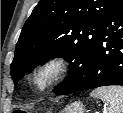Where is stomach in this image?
<instances>
[{"label": "stomach", "instance_id": "stomach-1", "mask_svg": "<svg viewBox=\"0 0 123 113\" xmlns=\"http://www.w3.org/2000/svg\"><path fill=\"white\" fill-rule=\"evenodd\" d=\"M63 113H84L83 103L76 101L67 105Z\"/></svg>", "mask_w": 123, "mask_h": 113}]
</instances>
